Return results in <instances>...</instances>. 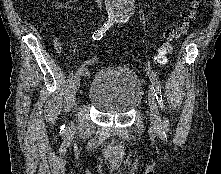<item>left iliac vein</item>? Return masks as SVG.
I'll return each mask as SVG.
<instances>
[{"label":"left iliac vein","instance_id":"left-iliac-vein-1","mask_svg":"<svg viewBox=\"0 0 221 174\" xmlns=\"http://www.w3.org/2000/svg\"><path fill=\"white\" fill-rule=\"evenodd\" d=\"M148 100L150 108V125L153 131H158L161 128V117L158 110V104L155 93L152 87L148 90Z\"/></svg>","mask_w":221,"mask_h":174}]
</instances>
